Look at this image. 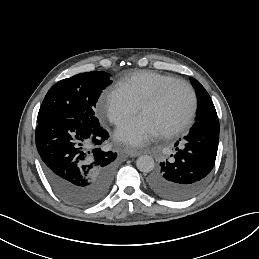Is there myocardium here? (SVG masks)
I'll list each match as a JSON object with an SVG mask.
<instances>
[{
    "instance_id": "myocardium-1",
    "label": "myocardium",
    "mask_w": 259,
    "mask_h": 259,
    "mask_svg": "<svg viewBox=\"0 0 259 259\" xmlns=\"http://www.w3.org/2000/svg\"><path fill=\"white\" fill-rule=\"evenodd\" d=\"M175 84H182L184 85L191 96V102H190V107L187 112V114L184 116L182 120H180L173 128L160 133V135L164 138H170L178 133H180L193 119L196 109H197V104H198V98L196 91L192 84H190L188 81L179 79V78H172L170 80H167L163 82L158 88L157 91L149 98L145 99L140 105H139V114L145 109L150 106L156 105L164 96V94L167 92V90L172 87Z\"/></svg>"
}]
</instances>
